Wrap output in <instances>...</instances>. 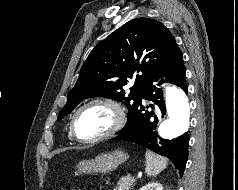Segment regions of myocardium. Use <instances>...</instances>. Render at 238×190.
<instances>
[{
  "label": "myocardium",
  "mask_w": 238,
  "mask_h": 190,
  "mask_svg": "<svg viewBox=\"0 0 238 190\" xmlns=\"http://www.w3.org/2000/svg\"><path fill=\"white\" fill-rule=\"evenodd\" d=\"M103 106L108 108L113 114V123L112 125L104 132L93 136V137H81L76 130V120L80 113L85 109L92 107V106ZM126 122V112L120 102L115 99L101 97V98H94L91 99L84 104H82L77 110L74 112L71 123H70V130L72 135L76 140L83 143H94L97 141H101L107 139L113 135H115L118 131H120Z\"/></svg>",
  "instance_id": "myocardium-1"
}]
</instances>
